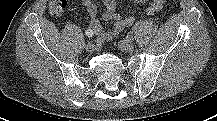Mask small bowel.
Here are the masks:
<instances>
[{
	"instance_id": "1",
	"label": "small bowel",
	"mask_w": 217,
	"mask_h": 121,
	"mask_svg": "<svg viewBox=\"0 0 217 121\" xmlns=\"http://www.w3.org/2000/svg\"><path fill=\"white\" fill-rule=\"evenodd\" d=\"M137 3L147 2L148 0H133ZM82 4L86 8L89 16L90 23L89 29H91L97 36L98 42L111 41L116 38L124 29L131 27L135 21L134 17L121 16L117 10V0H103L104 12L102 18L104 21L113 22V28L109 31H104L99 19L97 18V3L96 0H81ZM164 6V0H151V3L146 8L148 15H154L160 11Z\"/></svg>"
}]
</instances>
